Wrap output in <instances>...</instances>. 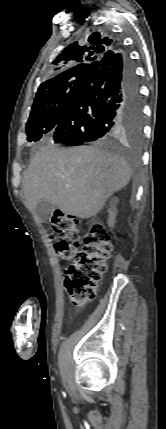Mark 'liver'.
Listing matches in <instances>:
<instances>
[{
    "mask_svg": "<svg viewBox=\"0 0 166 429\" xmlns=\"http://www.w3.org/2000/svg\"><path fill=\"white\" fill-rule=\"evenodd\" d=\"M131 168L120 156L97 146L40 148L23 176L29 210L42 200L65 214L88 219L130 181Z\"/></svg>",
    "mask_w": 166,
    "mask_h": 429,
    "instance_id": "liver-1",
    "label": "liver"
}]
</instances>
